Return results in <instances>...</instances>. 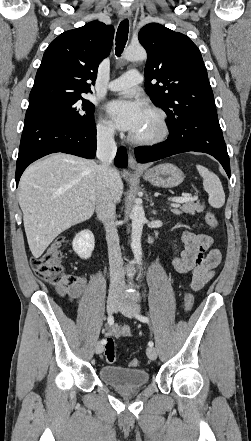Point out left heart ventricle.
I'll use <instances>...</instances> for the list:
<instances>
[{"label":"left heart ventricle","mask_w":251,"mask_h":441,"mask_svg":"<svg viewBox=\"0 0 251 441\" xmlns=\"http://www.w3.org/2000/svg\"><path fill=\"white\" fill-rule=\"evenodd\" d=\"M158 132L159 124L157 117L150 111L146 110L140 126L132 134L139 138H147L156 135Z\"/></svg>","instance_id":"b2bd125f"}]
</instances>
